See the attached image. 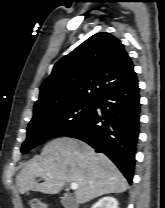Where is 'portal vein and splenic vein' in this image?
I'll return each instance as SVG.
<instances>
[{
    "instance_id": "obj_1",
    "label": "portal vein and splenic vein",
    "mask_w": 165,
    "mask_h": 208,
    "mask_svg": "<svg viewBox=\"0 0 165 208\" xmlns=\"http://www.w3.org/2000/svg\"><path fill=\"white\" fill-rule=\"evenodd\" d=\"M78 188L77 183H71V189L76 190Z\"/></svg>"
}]
</instances>
